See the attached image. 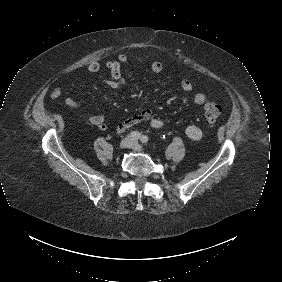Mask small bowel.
<instances>
[{
  "label": "small bowel",
  "mask_w": 282,
  "mask_h": 282,
  "mask_svg": "<svg viewBox=\"0 0 282 282\" xmlns=\"http://www.w3.org/2000/svg\"><path fill=\"white\" fill-rule=\"evenodd\" d=\"M128 60L129 57L127 54L120 53L114 60L110 61L107 64V69L112 76L111 80L105 81L104 83L107 87H122L125 85L126 79L121 74V68L125 63L128 62ZM133 60L136 62L148 64L151 71L154 73H160L163 70V65L158 60L149 61L145 56L140 54L135 55L133 57ZM99 69L100 64L97 61H91L86 67L88 73H96L99 71ZM179 85L185 93L192 96V99L196 104L203 105L206 102L207 96L202 92H194L191 81L183 79L179 82ZM61 95L62 88L60 86L54 87L50 93V97L52 99H57ZM64 103L66 106L72 109L84 110V117L87 122L97 127L98 129L106 130L109 128L104 112H100L98 114L88 113L85 111L82 103L72 97H66L64 99ZM141 123H147L153 129H163L176 125V123L171 121L170 119L156 117L151 109H145L140 113L130 116L117 123L115 126V132L117 134L124 133L128 129ZM182 129L186 136L193 141H200L203 137L202 130L195 125H184Z\"/></svg>",
  "instance_id": "obj_1"
}]
</instances>
